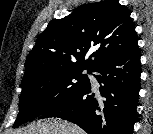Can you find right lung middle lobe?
<instances>
[{
    "instance_id": "right-lung-middle-lobe-1",
    "label": "right lung middle lobe",
    "mask_w": 153,
    "mask_h": 134,
    "mask_svg": "<svg viewBox=\"0 0 153 134\" xmlns=\"http://www.w3.org/2000/svg\"><path fill=\"white\" fill-rule=\"evenodd\" d=\"M84 70L78 66L60 67L24 79L14 128L43 115L84 88L89 83Z\"/></svg>"
}]
</instances>
